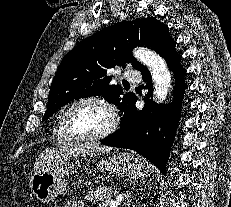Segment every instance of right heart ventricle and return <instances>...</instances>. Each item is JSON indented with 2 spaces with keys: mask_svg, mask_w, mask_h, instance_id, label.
<instances>
[{
  "mask_svg": "<svg viewBox=\"0 0 231 207\" xmlns=\"http://www.w3.org/2000/svg\"><path fill=\"white\" fill-rule=\"evenodd\" d=\"M62 116L63 114H60L57 118L56 125L54 128V136L57 142L65 144V143H70L73 140L66 134L64 130Z\"/></svg>",
  "mask_w": 231,
  "mask_h": 207,
  "instance_id": "right-heart-ventricle-1",
  "label": "right heart ventricle"
}]
</instances>
